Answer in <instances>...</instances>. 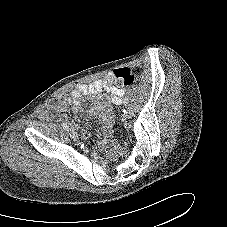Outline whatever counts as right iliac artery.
<instances>
[{
  "instance_id": "1",
  "label": "right iliac artery",
  "mask_w": 227,
  "mask_h": 227,
  "mask_svg": "<svg viewBox=\"0 0 227 227\" xmlns=\"http://www.w3.org/2000/svg\"><path fill=\"white\" fill-rule=\"evenodd\" d=\"M62 126H63V128H64L65 130L69 131V126H68V124H67L66 122H63V123H62Z\"/></svg>"
}]
</instances>
